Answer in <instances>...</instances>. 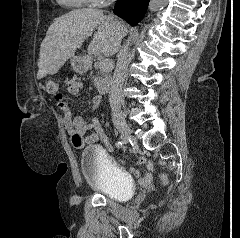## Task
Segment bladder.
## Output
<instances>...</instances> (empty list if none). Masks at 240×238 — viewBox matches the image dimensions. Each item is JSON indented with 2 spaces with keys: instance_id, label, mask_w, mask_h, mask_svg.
I'll use <instances>...</instances> for the list:
<instances>
[{
  "instance_id": "1",
  "label": "bladder",
  "mask_w": 240,
  "mask_h": 238,
  "mask_svg": "<svg viewBox=\"0 0 240 238\" xmlns=\"http://www.w3.org/2000/svg\"><path fill=\"white\" fill-rule=\"evenodd\" d=\"M80 168L90 189L115 201L132 197L134 184L131 177L99 147L90 145L83 150Z\"/></svg>"
}]
</instances>
